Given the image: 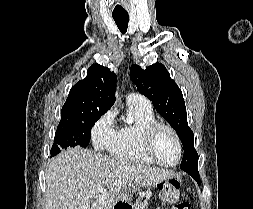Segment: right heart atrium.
Returning a JSON list of instances; mask_svg holds the SVG:
<instances>
[{
    "label": "right heart atrium",
    "instance_id": "right-heart-atrium-1",
    "mask_svg": "<svg viewBox=\"0 0 253 209\" xmlns=\"http://www.w3.org/2000/svg\"><path fill=\"white\" fill-rule=\"evenodd\" d=\"M117 138L112 112L101 115L91 129V140L97 150H111Z\"/></svg>",
    "mask_w": 253,
    "mask_h": 209
}]
</instances>
